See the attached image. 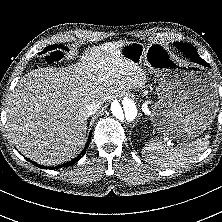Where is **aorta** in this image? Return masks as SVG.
Masks as SVG:
<instances>
[{"mask_svg": "<svg viewBox=\"0 0 222 222\" xmlns=\"http://www.w3.org/2000/svg\"><path fill=\"white\" fill-rule=\"evenodd\" d=\"M111 114L121 124L133 122L138 117L137 103L131 97H124L121 101H114L111 104Z\"/></svg>", "mask_w": 222, "mask_h": 222, "instance_id": "aorta-1", "label": "aorta"}]
</instances>
